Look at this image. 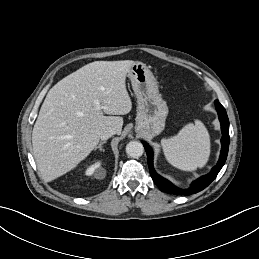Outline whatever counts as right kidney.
Listing matches in <instances>:
<instances>
[{
	"mask_svg": "<svg viewBox=\"0 0 259 259\" xmlns=\"http://www.w3.org/2000/svg\"><path fill=\"white\" fill-rule=\"evenodd\" d=\"M100 165H101L100 162H96V163L92 164L91 166H89V167L86 169L85 174H86L87 176L93 175L94 172H95V170H96L97 168H99Z\"/></svg>",
	"mask_w": 259,
	"mask_h": 259,
	"instance_id": "right-kidney-1",
	"label": "right kidney"
}]
</instances>
